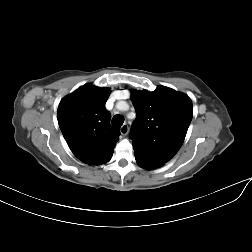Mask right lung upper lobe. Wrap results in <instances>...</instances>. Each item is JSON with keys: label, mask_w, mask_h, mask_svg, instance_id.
<instances>
[{"label": "right lung upper lobe", "mask_w": 252, "mask_h": 252, "mask_svg": "<svg viewBox=\"0 0 252 252\" xmlns=\"http://www.w3.org/2000/svg\"><path fill=\"white\" fill-rule=\"evenodd\" d=\"M111 91L86 84L61 100L58 124L73 152L88 165L110 161L120 131L110 125L105 103Z\"/></svg>", "instance_id": "obj_1"}]
</instances>
